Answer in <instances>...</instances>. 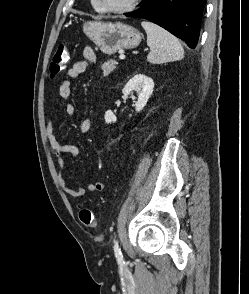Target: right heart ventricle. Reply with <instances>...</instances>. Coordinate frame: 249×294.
Instances as JSON below:
<instances>
[{
	"mask_svg": "<svg viewBox=\"0 0 249 294\" xmlns=\"http://www.w3.org/2000/svg\"><path fill=\"white\" fill-rule=\"evenodd\" d=\"M91 5L93 7V9L97 12H101L100 9L96 6V4L93 2V0H91Z\"/></svg>",
	"mask_w": 249,
	"mask_h": 294,
	"instance_id": "obj_1",
	"label": "right heart ventricle"
}]
</instances>
